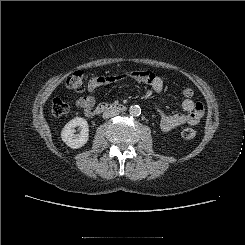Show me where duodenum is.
I'll use <instances>...</instances> for the list:
<instances>
[{
    "label": "duodenum",
    "mask_w": 245,
    "mask_h": 245,
    "mask_svg": "<svg viewBox=\"0 0 245 245\" xmlns=\"http://www.w3.org/2000/svg\"><path fill=\"white\" fill-rule=\"evenodd\" d=\"M126 108V105L123 103L103 102L93 109L92 115H99L106 111L124 112Z\"/></svg>",
    "instance_id": "obj_1"
}]
</instances>
